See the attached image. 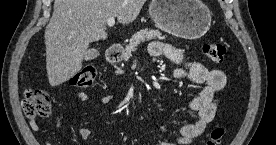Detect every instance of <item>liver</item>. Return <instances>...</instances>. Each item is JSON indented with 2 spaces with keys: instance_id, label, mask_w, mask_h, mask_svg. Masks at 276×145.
Here are the masks:
<instances>
[{
  "instance_id": "obj_1",
  "label": "liver",
  "mask_w": 276,
  "mask_h": 145,
  "mask_svg": "<svg viewBox=\"0 0 276 145\" xmlns=\"http://www.w3.org/2000/svg\"><path fill=\"white\" fill-rule=\"evenodd\" d=\"M146 0H55L45 30L46 69L51 86L60 85L81 68L89 44L106 39V23L117 17L132 23Z\"/></svg>"
}]
</instances>
